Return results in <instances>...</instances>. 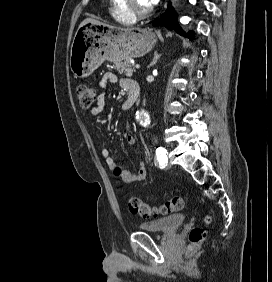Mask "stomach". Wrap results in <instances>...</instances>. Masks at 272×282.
I'll return each mask as SVG.
<instances>
[{
  "instance_id": "obj_1",
  "label": "stomach",
  "mask_w": 272,
  "mask_h": 282,
  "mask_svg": "<svg viewBox=\"0 0 272 282\" xmlns=\"http://www.w3.org/2000/svg\"><path fill=\"white\" fill-rule=\"evenodd\" d=\"M157 37L151 29L109 27L86 23L79 27L70 52V68L76 78L91 75L105 60L121 62L151 51Z\"/></svg>"
}]
</instances>
